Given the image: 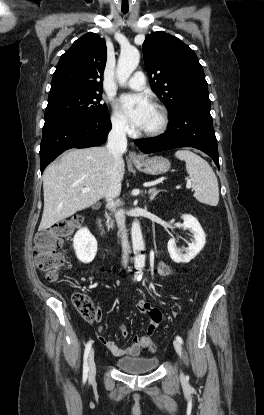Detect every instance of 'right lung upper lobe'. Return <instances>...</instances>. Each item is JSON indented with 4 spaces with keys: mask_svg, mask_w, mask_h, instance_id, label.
I'll list each match as a JSON object with an SVG mask.
<instances>
[{
    "mask_svg": "<svg viewBox=\"0 0 264 415\" xmlns=\"http://www.w3.org/2000/svg\"><path fill=\"white\" fill-rule=\"evenodd\" d=\"M106 57L103 38L92 32L83 35L61 56L49 96L67 91L102 92Z\"/></svg>",
    "mask_w": 264,
    "mask_h": 415,
    "instance_id": "1",
    "label": "right lung upper lobe"
}]
</instances>
